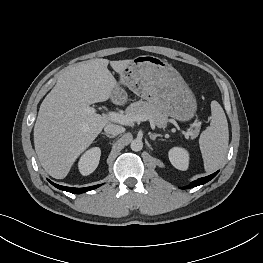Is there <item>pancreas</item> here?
<instances>
[{
    "label": "pancreas",
    "mask_w": 263,
    "mask_h": 263,
    "mask_svg": "<svg viewBox=\"0 0 263 263\" xmlns=\"http://www.w3.org/2000/svg\"><path fill=\"white\" fill-rule=\"evenodd\" d=\"M126 115L130 117H136L137 115H146L153 119L154 123L159 128H165L168 122L167 115L161 111L157 106L150 102H145L143 100H139L137 102L132 103L125 110ZM200 127L195 126L192 130L193 137H196L199 133Z\"/></svg>",
    "instance_id": "pancreas-1"
}]
</instances>
